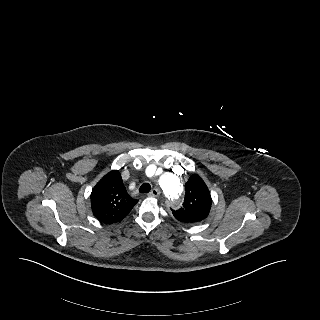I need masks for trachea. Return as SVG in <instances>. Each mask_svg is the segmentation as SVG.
Listing matches in <instances>:
<instances>
[{
  "mask_svg": "<svg viewBox=\"0 0 320 320\" xmlns=\"http://www.w3.org/2000/svg\"><path fill=\"white\" fill-rule=\"evenodd\" d=\"M151 189V186L149 183H143L141 186H140V193H148Z\"/></svg>",
  "mask_w": 320,
  "mask_h": 320,
  "instance_id": "trachea-1",
  "label": "trachea"
}]
</instances>
